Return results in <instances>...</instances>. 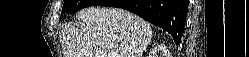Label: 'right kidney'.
I'll return each instance as SVG.
<instances>
[{
  "mask_svg": "<svg viewBox=\"0 0 249 57\" xmlns=\"http://www.w3.org/2000/svg\"><path fill=\"white\" fill-rule=\"evenodd\" d=\"M162 51L163 52H167V50L165 49V47H162Z\"/></svg>",
  "mask_w": 249,
  "mask_h": 57,
  "instance_id": "1",
  "label": "right kidney"
}]
</instances>
